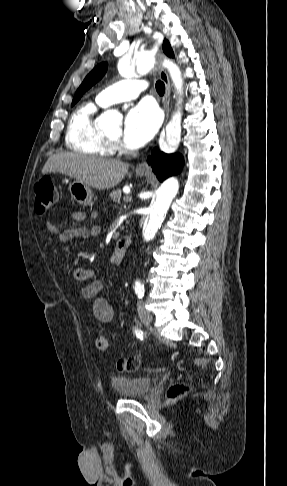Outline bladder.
<instances>
[{"label":"bladder","instance_id":"obj_1","mask_svg":"<svg viewBox=\"0 0 287 486\" xmlns=\"http://www.w3.org/2000/svg\"><path fill=\"white\" fill-rule=\"evenodd\" d=\"M111 385L118 395L133 398L147 394L152 379L146 376H117L111 379Z\"/></svg>","mask_w":287,"mask_h":486}]
</instances>
